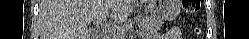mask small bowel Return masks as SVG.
I'll return each mask as SVG.
<instances>
[{
  "label": "small bowel",
  "mask_w": 249,
  "mask_h": 39,
  "mask_svg": "<svg viewBox=\"0 0 249 39\" xmlns=\"http://www.w3.org/2000/svg\"><path fill=\"white\" fill-rule=\"evenodd\" d=\"M179 34H180V31L177 28H171L165 33V36L167 38H175L179 36Z\"/></svg>",
  "instance_id": "c3829d8e"
}]
</instances>
